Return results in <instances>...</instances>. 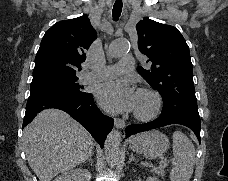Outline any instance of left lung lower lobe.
I'll use <instances>...</instances> for the list:
<instances>
[{
  "label": "left lung lower lobe",
  "mask_w": 228,
  "mask_h": 181,
  "mask_svg": "<svg viewBox=\"0 0 228 181\" xmlns=\"http://www.w3.org/2000/svg\"><path fill=\"white\" fill-rule=\"evenodd\" d=\"M170 124H180L184 125L186 127L191 128L194 130L196 136L200 140V123L197 122H191V121H184V120H163L161 118H157L154 121L144 123V124H131L126 128V137H129L130 135L144 132L147 130L163 127Z\"/></svg>",
  "instance_id": "obj_1"
}]
</instances>
